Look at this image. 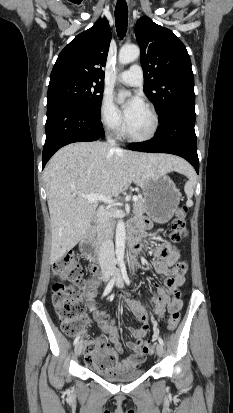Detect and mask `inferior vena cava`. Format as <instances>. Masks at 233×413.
<instances>
[{
  "label": "inferior vena cava",
  "instance_id": "inferior-vena-cava-1",
  "mask_svg": "<svg viewBox=\"0 0 233 413\" xmlns=\"http://www.w3.org/2000/svg\"><path fill=\"white\" fill-rule=\"evenodd\" d=\"M108 143L111 147L115 148V141L111 138H108ZM109 214L104 209L103 206L99 207L97 212V221L100 224L101 228L106 229L107 233V224H108ZM115 255H114V245L112 240L106 236L100 243L99 247V264L103 274H110L115 269Z\"/></svg>",
  "mask_w": 233,
  "mask_h": 413
}]
</instances>
